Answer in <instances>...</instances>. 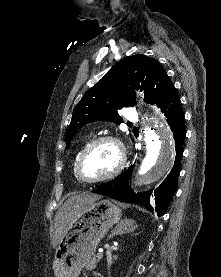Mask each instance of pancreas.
I'll list each match as a JSON object with an SVG mask.
<instances>
[{
    "label": "pancreas",
    "mask_w": 221,
    "mask_h": 277,
    "mask_svg": "<svg viewBox=\"0 0 221 277\" xmlns=\"http://www.w3.org/2000/svg\"><path fill=\"white\" fill-rule=\"evenodd\" d=\"M98 257V256H97ZM100 261L99 258L93 257L90 262L86 265V270L90 271L96 268L97 263Z\"/></svg>",
    "instance_id": "1"
}]
</instances>
